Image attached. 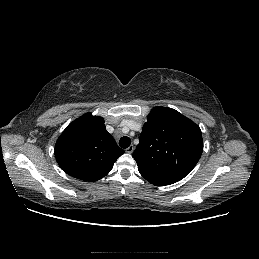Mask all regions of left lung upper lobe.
Returning <instances> with one entry per match:
<instances>
[{
    "mask_svg": "<svg viewBox=\"0 0 259 259\" xmlns=\"http://www.w3.org/2000/svg\"><path fill=\"white\" fill-rule=\"evenodd\" d=\"M203 152L197 124L168 107H154L143 126L133 158L138 170L175 183L187 176Z\"/></svg>",
    "mask_w": 259,
    "mask_h": 259,
    "instance_id": "5c2ea615",
    "label": "left lung upper lobe"
}]
</instances>
